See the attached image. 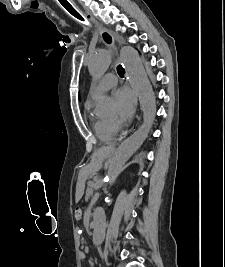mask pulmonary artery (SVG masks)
Returning <instances> with one entry per match:
<instances>
[{"label": "pulmonary artery", "instance_id": "e3ab8cb5", "mask_svg": "<svg viewBox=\"0 0 225 267\" xmlns=\"http://www.w3.org/2000/svg\"><path fill=\"white\" fill-rule=\"evenodd\" d=\"M117 83V77L113 73H107L101 81L92 88L91 96L96 98L99 94L108 91Z\"/></svg>", "mask_w": 225, "mask_h": 267}]
</instances>
